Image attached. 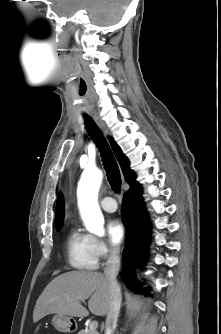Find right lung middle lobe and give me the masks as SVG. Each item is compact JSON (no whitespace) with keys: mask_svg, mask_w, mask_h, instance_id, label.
<instances>
[{"mask_svg":"<svg viewBox=\"0 0 221 334\" xmlns=\"http://www.w3.org/2000/svg\"><path fill=\"white\" fill-rule=\"evenodd\" d=\"M57 230H59L60 229V227H58V228H56Z\"/></svg>","mask_w":221,"mask_h":334,"instance_id":"obj_1","label":"right lung middle lobe"}]
</instances>
